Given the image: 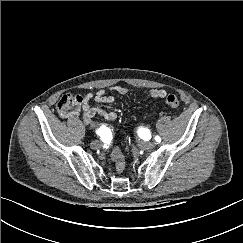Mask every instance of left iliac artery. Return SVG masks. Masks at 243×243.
Returning <instances> with one entry per match:
<instances>
[{"instance_id":"44dca946","label":"left iliac artery","mask_w":243,"mask_h":243,"mask_svg":"<svg viewBox=\"0 0 243 243\" xmlns=\"http://www.w3.org/2000/svg\"><path fill=\"white\" fill-rule=\"evenodd\" d=\"M154 140H155L157 143H159V142L161 141V138H160L159 136H155V137H154Z\"/></svg>"}]
</instances>
